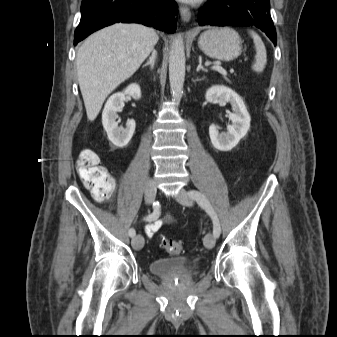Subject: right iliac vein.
Listing matches in <instances>:
<instances>
[{"label":"right iliac vein","instance_id":"63e3f726","mask_svg":"<svg viewBox=\"0 0 337 337\" xmlns=\"http://www.w3.org/2000/svg\"><path fill=\"white\" fill-rule=\"evenodd\" d=\"M156 184L153 179H148L145 186V201L147 204H151L154 202L156 197ZM132 247L135 250H140L144 246V238L142 235H137L132 238L131 241Z\"/></svg>","mask_w":337,"mask_h":337}]
</instances>
